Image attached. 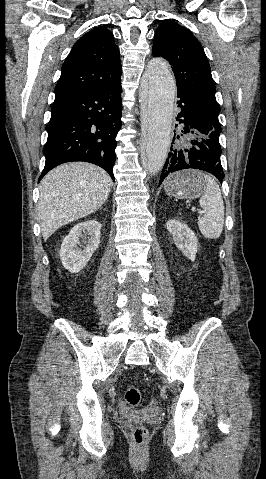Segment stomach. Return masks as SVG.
I'll use <instances>...</instances> for the list:
<instances>
[{
  "label": "stomach",
  "instance_id": "0dacf381",
  "mask_svg": "<svg viewBox=\"0 0 266 479\" xmlns=\"http://www.w3.org/2000/svg\"><path fill=\"white\" fill-rule=\"evenodd\" d=\"M207 182L202 173L197 170H185L168 177L165 182V192L178 199H195L201 196Z\"/></svg>",
  "mask_w": 266,
  "mask_h": 479
}]
</instances>
